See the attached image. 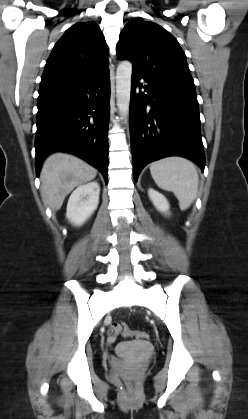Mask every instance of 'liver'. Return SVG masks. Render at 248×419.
I'll return each instance as SVG.
<instances>
[{
    "label": "liver",
    "instance_id": "obj_1",
    "mask_svg": "<svg viewBox=\"0 0 248 419\" xmlns=\"http://www.w3.org/2000/svg\"><path fill=\"white\" fill-rule=\"evenodd\" d=\"M97 170L82 159L66 154L54 153L43 163L41 196L44 204L59 210L65 197L77 186L95 178Z\"/></svg>",
    "mask_w": 248,
    "mask_h": 419
}]
</instances>
